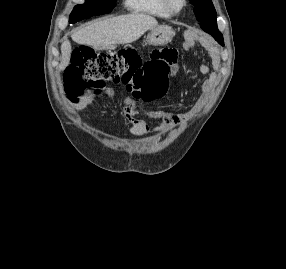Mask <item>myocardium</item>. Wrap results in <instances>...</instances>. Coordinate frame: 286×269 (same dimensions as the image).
Returning <instances> with one entry per match:
<instances>
[{
	"mask_svg": "<svg viewBox=\"0 0 286 269\" xmlns=\"http://www.w3.org/2000/svg\"><path fill=\"white\" fill-rule=\"evenodd\" d=\"M166 10L171 15L180 14L186 7L187 0H178L179 5H176L175 0H162Z\"/></svg>",
	"mask_w": 286,
	"mask_h": 269,
	"instance_id": "f54148a6",
	"label": "myocardium"
}]
</instances>
